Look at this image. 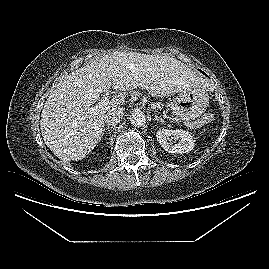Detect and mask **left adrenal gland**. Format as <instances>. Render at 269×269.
Segmentation results:
<instances>
[{"instance_id": "left-adrenal-gland-1", "label": "left adrenal gland", "mask_w": 269, "mask_h": 269, "mask_svg": "<svg viewBox=\"0 0 269 269\" xmlns=\"http://www.w3.org/2000/svg\"><path fill=\"white\" fill-rule=\"evenodd\" d=\"M154 120L158 121V122L165 123V121L162 118L158 117V116H155Z\"/></svg>"}]
</instances>
